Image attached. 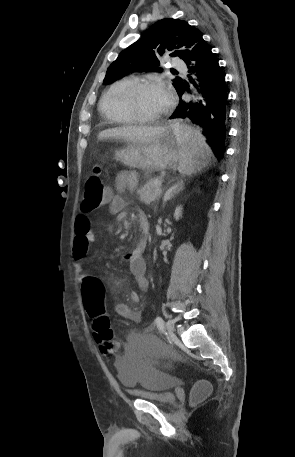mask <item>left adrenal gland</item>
I'll list each match as a JSON object with an SVG mask.
<instances>
[{"label": "left adrenal gland", "mask_w": 295, "mask_h": 457, "mask_svg": "<svg viewBox=\"0 0 295 457\" xmlns=\"http://www.w3.org/2000/svg\"><path fill=\"white\" fill-rule=\"evenodd\" d=\"M184 189V183L182 180L171 186L164 194L163 204L172 199L175 195L179 194Z\"/></svg>", "instance_id": "1"}]
</instances>
